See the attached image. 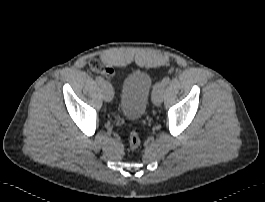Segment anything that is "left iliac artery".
<instances>
[{"label":"left iliac artery","instance_id":"1","mask_svg":"<svg viewBox=\"0 0 265 202\" xmlns=\"http://www.w3.org/2000/svg\"><path fill=\"white\" fill-rule=\"evenodd\" d=\"M169 82H170V77L169 76L163 78V80H162L161 83H158V84L155 85L153 92H155L156 90H158L159 87H160V85L166 86Z\"/></svg>","mask_w":265,"mask_h":202}]
</instances>
